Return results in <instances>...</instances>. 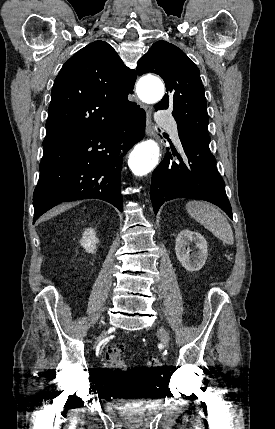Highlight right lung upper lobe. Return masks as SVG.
<instances>
[{
  "label": "right lung upper lobe",
  "mask_w": 275,
  "mask_h": 429,
  "mask_svg": "<svg viewBox=\"0 0 275 429\" xmlns=\"http://www.w3.org/2000/svg\"><path fill=\"white\" fill-rule=\"evenodd\" d=\"M136 73L126 67L107 42L95 41L61 68L51 91L43 147L97 130L127 116Z\"/></svg>",
  "instance_id": "right-lung-upper-lobe-1"
}]
</instances>
